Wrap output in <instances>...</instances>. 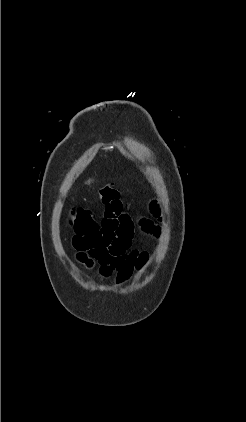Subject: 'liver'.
<instances>
[{
	"mask_svg": "<svg viewBox=\"0 0 246 422\" xmlns=\"http://www.w3.org/2000/svg\"><path fill=\"white\" fill-rule=\"evenodd\" d=\"M90 182H91V180H88V182H87V183H88V184H90Z\"/></svg>",
	"mask_w": 246,
	"mask_h": 422,
	"instance_id": "obj_1",
	"label": "liver"
}]
</instances>
